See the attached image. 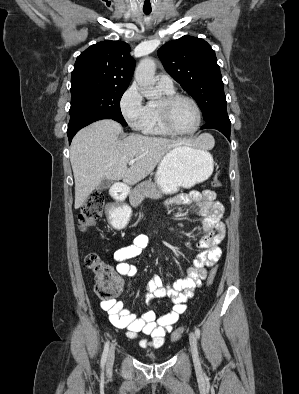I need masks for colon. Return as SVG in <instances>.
Returning a JSON list of instances; mask_svg holds the SVG:
<instances>
[{
    "label": "colon",
    "mask_w": 299,
    "mask_h": 394,
    "mask_svg": "<svg viewBox=\"0 0 299 394\" xmlns=\"http://www.w3.org/2000/svg\"><path fill=\"white\" fill-rule=\"evenodd\" d=\"M211 184L214 187H220L221 181L219 175H214ZM105 203V196L101 192H93L84 202L79 214V223L84 228L92 227L100 218ZM86 266L93 272L96 281L95 292L97 296L104 301H113L120 293L122 288L121 279L115 274L111 265L102 260L99 254L89 253L85 258ZM217 274V268L214 266L210 269L207 277V284H213ZM184 329L175 330L171 339L177 341L183 334Z\"/></svg>",
    "instance_id": "colon-1"
}]
</instances>
